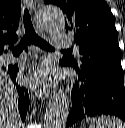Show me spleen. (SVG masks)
Wrapping results in <instances>:
<instances>
[{"instance_id":"3e777b00","label":"spleen","mask_w":125,"mask_h":128,"mask_svg":"<svg viewBox=\"0 0 125 128\" xmlns=\"http://www.w3.org/2000/svg\"><path fill=\"white\" fill-rule=\"evenodd\" d=\"M86 122H91L89 128H125V123L121 120L106 115L87 119Z\"/></svg>"}]
</instances>
